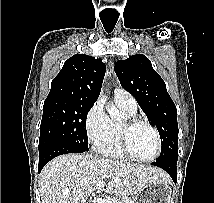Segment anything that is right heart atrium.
I'll return each instance as SVG.
<instances>
[{"label": "right heart atrium", "mask_w": 214, "mask_h": 203, "mask_svg": "<svg viewBox=\"0 0 214 203\" xmlns=\"http://www.w3.org/2000/svg\"><path fill=\"white\" fill-rule=\"evenodd\" d=\"M111 120L104 108V102L98 99L85 117V130L88 139L94 144L102 141L110 132Z\"/></svg>", "instance_id": "right-heart-atrium-1"}]
</instances>
